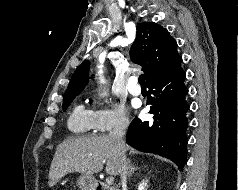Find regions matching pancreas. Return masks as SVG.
Wrapping results in <instances>:
<instances>
[{"instance_id": "1", "label": "pancreas", "mask_w": 238, "mask_h": 190, "mask_svg": "<svg viewBox=\"0 0 238 190\" xmlns=\"http://www.w3.org/2000/svg\"><path fill=\"white\" fill-rule=\"evenodd\" d=\"M110 190H118V189H110Z\"/></svg>"}]
</instances>
